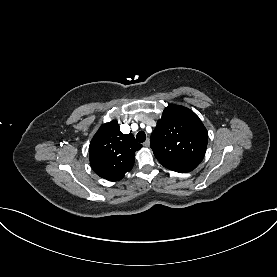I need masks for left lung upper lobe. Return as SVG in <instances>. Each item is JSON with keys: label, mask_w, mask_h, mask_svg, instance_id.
I'll return each mask as SVG.
<instances>
[{"label": "left lung upper lobe", "mask_w": 277, "mask_h": 277, "mask_svg": "<svg viewBox=\"0 0 277 277\" xmlns=\"http://www.w3.org/2000/svg\"><path fill=\"white\" fill-rule=\"evenodd\" d=\"M208 133L190 109L170 104L151 135L155 157L166 168L185 173L195 169L204 158Z\"/></svg>", "instance_id": "left-lung-upper-lobe-1"}]
</instances>
